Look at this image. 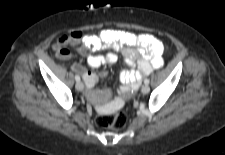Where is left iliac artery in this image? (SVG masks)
I'll return each mask as SVG.
<instances>
[{
  "label": "left iliac artery",
  "instance_id": "left-iliac-artery-1",
  "mask_svg": "<svg viewBox=\"0 0 225 155\" xmlns=\"http://www.w3.org/2000/svg\"><path fill=\"white\" fill-rule=\"evenodd\" d=\"M144 83H145L146 85H148V84H149V79H145V80H144Z\"/></svg>",
  "mask_w": 225,
  "mask_h": 155
}]
</instances>
